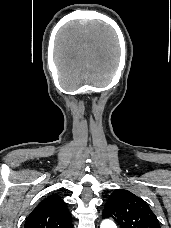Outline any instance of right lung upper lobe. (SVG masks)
Masks as SVG:
<instances>
[{"instance_id": "cb5924a9", "label": "right lung upper lobe", "mask_w": 171, "mask_h": 228, "mask_svg": "<svg viewBox=\"0 0 171 228\" xmlns=\"http://www.w3.org/2000/svg\"><path fill=\"white\" fill-rule=\"evenodd\" d=\"M24 228H72L66 203L57 194L50 195L31 212Z\"/></svg>"}]
</instances>
